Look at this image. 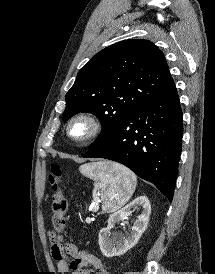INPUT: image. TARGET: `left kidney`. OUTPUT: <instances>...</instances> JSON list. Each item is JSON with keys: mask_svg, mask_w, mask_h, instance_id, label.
Masks as SVG:
<instances>
[{"mask_svg": "<svg viewBox=\"0 0 215 274\" xmlns=\"http://www.w3.org/2000/svg\"><path fill=\"white\" fill-rule=\"evenodd\" d=\"M139 205L143 210L132 226L131 232L126 237L116 236L113 239L110 238V230L114 225L121 220L127 219L131 211L138 209ZM150 213L151 204L146 196L137 197L131 203L113 213L108 219V226L99 232V245L103 255L108 258L120 256L134 247L147 227Z\"/></svg>", "mask_w": 215, "mask_h": 274, "instance_id": "obj_1", "label": "left kidney"}]
</instances>
